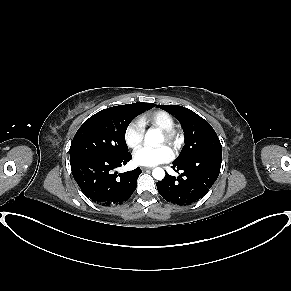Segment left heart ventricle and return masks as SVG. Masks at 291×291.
Wrapping results in <instances>:
<instances>
[{
	"mask_svg": "<svg viewBox=\"0 0 291 291\" xmlns=\"http://www.w3.org/2000/svg\"><path fill=\"white\" fill-rule=\"evenodd\" d=\"M164 142H165L164 137L161 135L159 143H164Z\"/></svg>",
	"mask_w": 291,
	"mask_h": 291,
	"instance_id": "1",
	"label": "left heart ventricle"
}]
</instances>
